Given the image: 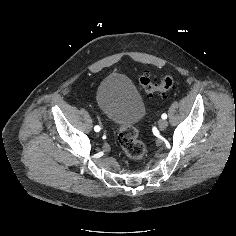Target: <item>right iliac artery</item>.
<instances>
[{"instance_id": "1", "label": "right iliac artery", "mask_w": 236, "mask_h": 236, "mask_svg": "<svg viewBox=\"0 0 236 236\" xmlns=\"http://www.w3.org/2000/svg\"><path fill=\"white\" fill-rule=\"evenodd\" d=\"M100 126H98V125H96L95 127H94V130L96 131V132H99L100 131Z\"/></svg>"}]
</instances>
